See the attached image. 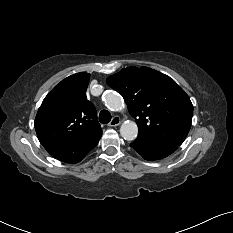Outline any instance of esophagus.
Masks as SVG:
<instances>
[{"mask_svg": "<svg viewBox=\"0 0 233 233\" xmlns=\"http://www.w3.org/2000/svg\"><path fill=\"white\" fill-rule=\"evenodd\" d=\"M121 120L119 116H114L112 120L108 123L109 127H116L120 124Z\"/></svg>", "mask_w": 233, "mask_h": 233, "instance_id": "esophagus-1", "label": "esophagus"}]
</instances>
